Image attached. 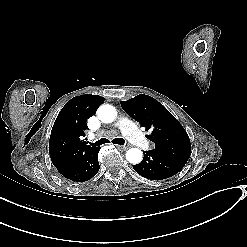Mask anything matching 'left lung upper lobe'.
I'll return each instance as SVG.
<instances>
[{
	"label": "left lung upper lobe",
	"mask_w": 247,
	"mask_h": 247,
	"mask_svg": "<svg viewBox=\"0 0 247 247\" xmlns=\"http://www.w3.org/2000/svg\"><path fill=\"white\" fill-rule=\"evenodd\" d=\"M123 110L152 134L147 136L155 143V151L166 154L182 163L191 154L190 139L178 120L156 99L140 94L121 101Z\"/></svg>",
	"instance_id": "5c2ea615"
}]
</instances>
